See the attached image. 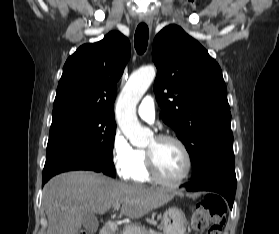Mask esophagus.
<instances>
[{"label": "esophagus", "instance_id": "esophagus-1", "mask_svg": "<svg viewBox=\"0 0 279 234\" xmlns=\"http://www.w3.org/2000/svg\"><path fill=\"white\" fill-rule=\"evenodd\" d=\"M141 20L144 21L149 27H152L153 18L149 14H145L141 17Z\"/></svg>", "mask_w": 279, "mask_h": 234}]
</instances>
